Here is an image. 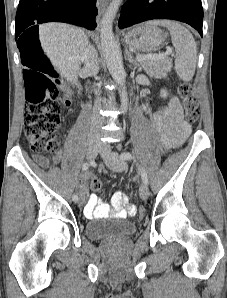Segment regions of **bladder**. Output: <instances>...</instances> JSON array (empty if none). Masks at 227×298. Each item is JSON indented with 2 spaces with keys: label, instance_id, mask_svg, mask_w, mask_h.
<instances>
[{
  "label": "bladder",
  "instance_id": "31cf9c89",
  "mask_svg": "<svg viewBox=\"0 0 227 298\" xmlns=\"http://www.w3.org/2000/svg\"><path fill=\"white\" fill-rule=\"evenodd\" d=\"M137 230L134 222L124 219L103 218L91 220L85 226V235L94 241L122 239Z\"/></svg>",
  "mask_w": 227,
  "mask_h": 298
}]
</instances>
